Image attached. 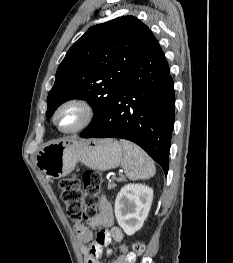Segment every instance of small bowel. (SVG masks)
I'll return each mask as SVG.
<instances>
[{"label":"small bowel","instance_id":"small-bowel-1","mask_svg":"<svg viewBox=\"0 0 233 263\" xmlns=\"http://www.w3.org/2000/svg\"><path fill=\"white\" fill-rule=\"evenodd\" d=\"M113 223V209L110 202L105 198L101 199L98 213L95 217L75 222L74 230L85 263H100L104 249L112 241L119 244L121 251V255L113 263H135V253L129 251L126 245L121 244L123 232L120 228L113 226ZM93 229H98L95 240H93ZM107 253L111 254V251L108 250Z\"/></svg>","mask_w":233,"mask_h":263}]
</instances>
